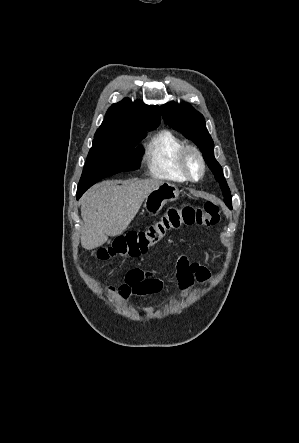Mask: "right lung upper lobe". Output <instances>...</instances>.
Segmentation results:
<instances>
[{"label":"right lung upper lobe","instance_id":"1","mask_svg":"<svg viewBox=\"0 0 299 443\" xmlns=\"http://www.w3.org/2000/svg\"><path fill=\"white\" fill-rule=\"evenodd\" d=\"M160 121L158 106H148L140 101L133 103L125 98L109 108L95 136L139 130L147 125H159Z\"/></svg>","mask_w":299,"mask_h":443}]
</instances>
